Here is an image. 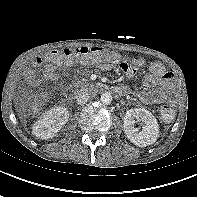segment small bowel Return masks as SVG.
<instances>
[{"label": "small bowel", "instance_id": "1", "mask_svg": "<svg viewBox=\"0 0 197 197\" xmlns=\"http://www.w3.org/2000/svg\"><path fill=\"white\" fill-rule=\"evenodd\" d=\"M127 62L126 67L122 70L128 77H132L136 73L134 64L136 62ZM34 63L39 65L41 59L37 58ZM61 69L60 63L49 64L44 69V74L49 79L57 78L56 70ZM144 89L136 92V96L144 104H159L167 101L173 90V77L167 72L164 65L160 62H153L149 66V72L143 79Z\"/></svg>", "mask_w": 197, "mask_h": 197}]
</instances>
